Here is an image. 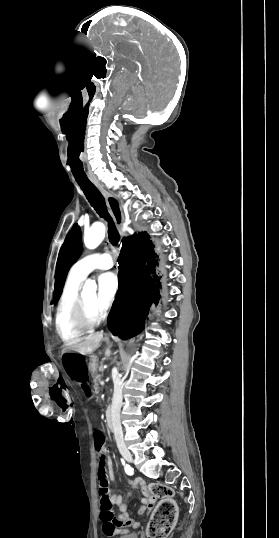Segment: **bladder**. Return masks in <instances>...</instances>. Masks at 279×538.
<instances>
[{
    "label": "bladder",
    "instance_id": "1",
    "mask_svg": "<svg viewBox=\"0 0 279 538\" xmlns=\"http://www.w3.org/2000/svg\"><path fill=\"white\" fill-rule=\"evenodd\" d=\"M121 538H129V535L128 534H122ZM130 538H137L136 533L131 532V537Z\"/></svg>",
    "mask_w": 279,
    "mask_h": 538
}]
</instances>
